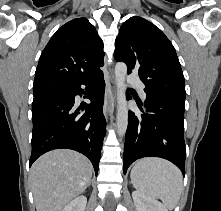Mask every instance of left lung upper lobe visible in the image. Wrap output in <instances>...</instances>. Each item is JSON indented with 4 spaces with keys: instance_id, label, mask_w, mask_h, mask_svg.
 Here are the masks:
<instances>
[{
    "instance_id": "obj_1",
    "label": "left lung upper lobe",
    "mask_w": 221,
    "mask_h": 211,
    "mask_svg": "<svg viewBox=\"0 0 221 211\" xmlns=\"http://www.w3.org/2000/svg\"><path fill=\"white\" fill-rule=\"evenodd\" d=\"M114 57L126 63L128 73L137 71L150 95L185 98V82L176 51L165 34L141 17L125 21L115 41Z\"/></svg>"
}]
</instances>
